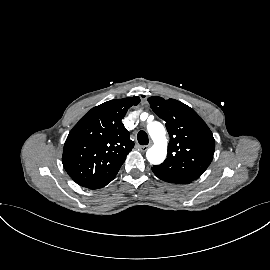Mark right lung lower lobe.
<instances>
[{
  "mask_svg": "<svg viewBox=\"0 0 270 270\" xmlns=\"http://www.w3.org/2000/svg\"><path fill=\"white\" fill-rule=\"evenodd\" d=\"M113 180V179H112ZM110 180V181H112ZM110 181H107V182H104V183H101V184H98V185H95V186H91V187H88L89 189H98V188H102L104 187L105 185H107Z\"/></svg>",
  "mask_w": 270,
  "mask_h": 270,
  "instance_id": "1",
  "label": "right lung lower lobe"
}]
</instances>
